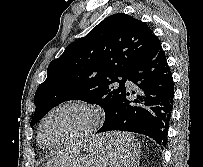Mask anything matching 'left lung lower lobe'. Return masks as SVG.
Masks as SVG:
<instances>
[{
  "label": "left lung lower lobe",
  "mask_w": 203,
  "mask_h": 167,
  "mask_svg": "<svg viewBox=\"0 0 203 167\" xmlns=\"http://www.w3.org/2000/svg\"><path fill=\"white\" fill-rule=\"evenodd\" d=\"M127 80L140 92L126 89L97 133L112 130L140 133L154 139L163 149L173 109L174 82L159 39L137 60ZM101 146L117 148L112 143Z\"/></svg>",
  "instance_id": "left-lung-lower-lobe-1"
}]
</instances>
